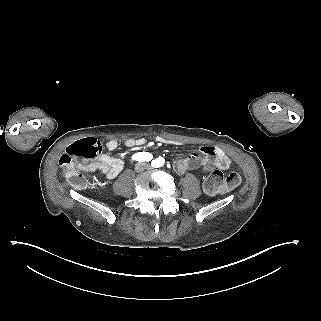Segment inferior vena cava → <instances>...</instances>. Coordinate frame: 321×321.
<instances>
[{
	"label": "inferior vena cava",
	"mask_w": 321,
	"mask_h": 321,
	"mask_svg": "<svg viewBox=\"0 0 321 321\" xmlns=\"http://www.w3.org/2000/svg\"><path fill=\"white\" fill-rule=\"evenodd\" d=\"M138 169L139 170H149L150 169V164L149 163H139L138 164Z\"/></svg>",
	"instance_id": "inferior-vena-cava-1"
}]
</instances>
